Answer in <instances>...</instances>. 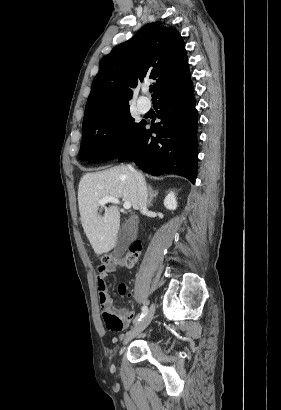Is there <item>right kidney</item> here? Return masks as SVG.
<instances>
[{"label":"right kidney","instance_id":"ca27d5eb","mask_svg":"<svg viewBox=\"0 0 281 410\" xmlns=\"http://www.w3.org/2000/svg\"><path fill=\"white\" fill-rule=\"evenodd\" d=\"M164 206L168 210H175L177 208V201L174 192L168 193L164 199Z\"/></svg>","mask_w":281,"mask_h":410}]
</instances>
